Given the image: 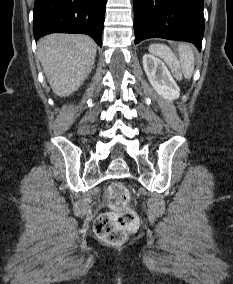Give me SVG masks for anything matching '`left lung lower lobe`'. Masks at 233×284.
Masks as SVG:
<instances>
[{"label": "left lung lower lobe", "instance_id": "0a47b994", "mask_svg": "<svg viewBox=\"0 0 233 284\" xmlns=\"http://www.w3.org/2000/svg\"><path fill=\"white\" fill-rule=\"evenodd\" d=\"M135 44L160 37L194 43L201 50L203 0H134Z\"/></svg>", "mask_w": 233, "mask_h": 284}]
</instances>
